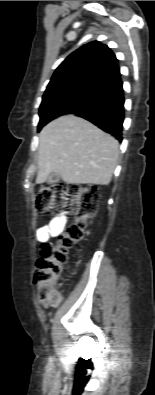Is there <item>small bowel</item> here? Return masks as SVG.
Listing matches in <instances>:
<instances>
[{
  "label": "small bowel",
  "mask_w": 155,
  "mask_h": 395,
  "mask_svg": "<svg viewBox=\"0 0 155 395\" xmlns=\"http://www.w3.org/2000/svg\"><path fill=\"white\" fill-rule=\"evenodd\" d=\"M67 222V216L65 213H61L50 220V222L36 231V238L38 242H46L51 237L60 235Z\"/></svg>",
  "instance_id": "obj_1"
}]
</instances>
